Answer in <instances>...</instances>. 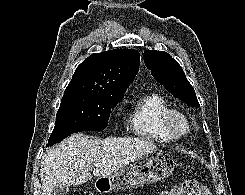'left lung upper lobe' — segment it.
Here are the masks:
<instances>
[{"instance_id": "left-lung-upper-lobe-1", "label": "left lung upper lobe", "mask_w": 245, "mask_h": 195, "mask_svg": "<svg viewBox=\"0 0 245 195\" xmlns=\"http://www.w3.org/2000/svg\"><path fill=\"white\" fill-rule=\"evenodd\" d=\"M144 62L153 77L176 98L193 108L200 107L195 91L182 68L168 53L155 50L144 52Z\"/></svg>"}]
</instances>
